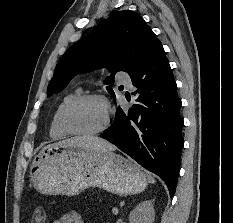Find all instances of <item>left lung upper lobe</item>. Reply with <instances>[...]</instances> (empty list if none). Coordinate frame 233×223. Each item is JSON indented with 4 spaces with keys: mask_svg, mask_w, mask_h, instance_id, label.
Returning <instances> with one entry per match:
<instances>
[{
    "mask_svg": "<svg viewBox=\"0 0 233 223\" xmlns=\"http://www.w3.org/2000/svg\"><path fill=\"white\" fill-rule=\"evenodd\" d=\"M156 40V35L137 13H114L65 52L48 85V97L62 91L76 74L100 67H107L112 73L124 71L131 75ZM113 82L114 75L105 80L108 85ZM107 90L114 94L110 87Z\"/></svg>",
    "mask_w": 233,
    "mask_h": 223,
    "instance_id": "obj_1",
    "label": "left lung upper lobe"
}]
</instances>
